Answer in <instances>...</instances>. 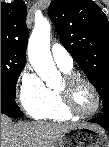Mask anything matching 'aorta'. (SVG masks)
Listing matches in <instances>:
<instances>
[{
	"instance_id": "762f6f07",
	"label": "aorta",
	"mask_w": 109,
	"mask_h": 147,
	"mask_svg": "<svg viewBox=\"0 0 109 147\" xmlns=\"http://www.w3.org/2000/svg\"><path fill=\"white\" fill-rule=\"evenodd\" d=\"M51 26L46 20L35 23V27L28 43V57L31 66L49 87H53L60 80V73L56 69L50 52Z\"/></svg>"
}]
</instances>
